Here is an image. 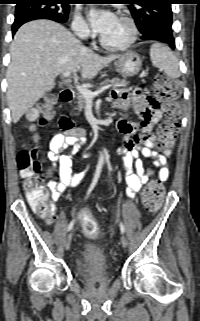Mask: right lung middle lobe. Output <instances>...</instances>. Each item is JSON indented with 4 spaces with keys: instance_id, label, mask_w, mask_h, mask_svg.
Listing matches in <instances>:
<instances>
[{
    "instance_id": "dd1d6c3e",
    "label": "right lung middle lobe",
    "mask_w": 200,
    "mask_h": 321,
    "mask_svg": "<svg viewBox=\"0 0 200 321\" xmlns=\"http://www.w3.org/2000/svg\"><path fill=\"white\" fill-rule=\"evenodd\" d=\"M71 1L68 0H23L17 3L15 17L25 13H46L65 23Z\"/></svg>"
}]
</instances>
